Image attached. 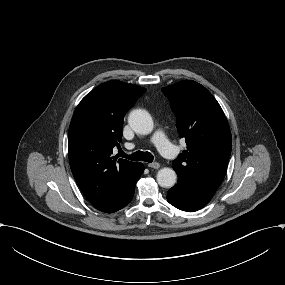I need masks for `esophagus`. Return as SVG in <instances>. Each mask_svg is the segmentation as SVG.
Here are the masks:
<instances>
[{
	"instance_id": "esophagus-1",
	"label": "esophagus",
	"mask_w": 285,
	"mask_h": 285,
	"mask_svg": "<svg viewBox=\"0 0 285 285\" xmlns=\"http://www.w3.org/2000/svg\"><path fill=\"white\" fill-rule=\"evenodd\" d=\"M148 166L153 169H159L160 164L158 162L149 163Z\"/></svg>"
}]
</instances>
